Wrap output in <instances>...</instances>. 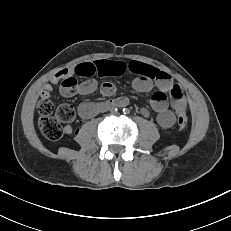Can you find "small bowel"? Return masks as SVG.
<instances>
[{"label":"small bowel","instance_id":"obj_1","mask_svg":"<svg viewBox=\"0 0 231 231\" xmlns=\"http://www.w3.org/2000/svg\"><path fill=\"white\" fill-rule=\"evenodd\" d=\"M126 72H131L135 75L132 84L136 91L147 93L153 87L156 88L151 97V108L156 113L157 123L162 128H171L176 121L175 113L178 114L186 106L181 87L173 81L168 73L135 60L128 63L97 60L84 62L70 69H63L44 84L40 99H49L51 92L59 81L69 75L76 74L86 78L78 87V93L89 95L97 89L96 76H119ZM100 91L105 96H111L115 93V87L110 82H104L100 87ZM114 102L116 105L122 106L127 103V99L120 97ZM106 108L104 103L83 102L78 107V114L82 119H90ZM144 114L148 115L149 113L144 110ZM71 131L70 126L65 127L66 133H71Z\"/></svg>","mask_w":231,"mask_h":231}]
</instances>
